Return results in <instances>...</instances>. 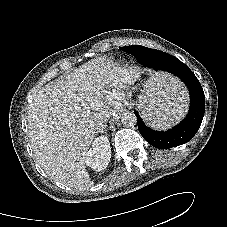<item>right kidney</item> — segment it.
Segmentation results:
<instances>
[{
	"mask_svg": "<svg viewBox=\"0 0 227 227\" xmlns=\"http://www.w3.org/2000/svg\"><path fill=\"white\" fill-rule=\"evenodd\" d=\"M111 158V148L107 136L97 137L85 157V163L95 171L106 169Z\"/></svg>",
	"mask_w": 227,
	"mask_h": 227,
	"instance_id": "right-kidney-1",
	"label": "right kidney"
}]
</instances>
